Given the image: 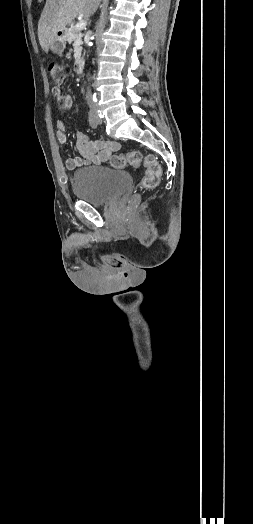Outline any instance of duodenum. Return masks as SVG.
Here are the masks:
<instances>
[{"label":"duodenum","mask_w":253,"mask_h":524,"mask_svg":"<svg viewBox=\"0 0 253 524\" xmlns=\"http://www.w3.org/2000/svg\"><path fill=\"white\" fill-rule=\"evenodd\" d=\"M74 68H75V72L78 74L83 72V60L81 58L75 61Z\"/></svg>","instance_id":"obj_1"}]
</instances>
